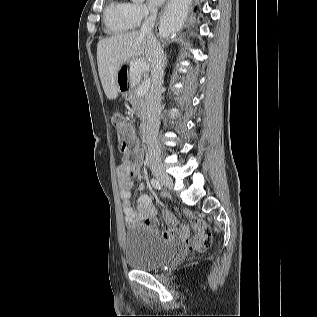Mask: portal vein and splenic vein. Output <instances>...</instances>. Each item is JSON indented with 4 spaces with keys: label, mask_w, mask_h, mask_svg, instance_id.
<instances>
[{
    "label": "portal vein and splenic vein",
    "mask_w": 317,
    "mask_h": 317,
    "mask_svg": "<svg viewBox=\"0 0 317 317\" xmlns=\"http://www.w3.org/2000/svg\"><path fill=\"white\" fill-rule=\"evenodd\" d=\"M146 66V63H140L141 68H144ZM150 87V80H145L144 82H142V84L139 86L138 90H137V94L138 95H142L145 94Z\"/></svg>",
    "instance_id": "18ae733b"
}]
</instances>
